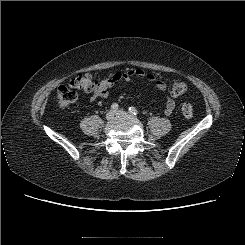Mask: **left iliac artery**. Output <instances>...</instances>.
Wrapping results in <instances>:
<instances>
[{
	"mask_svg": "<svg viewBox=\"0 0 245 245\" xmlns=\"http://www.w3.org/2000/svg\"><path fill=\"white\" fill-rule=\"evenodd\" d=\"M129 112H130L132 115H137V114H138L137 109L134 108V107H130V108H129Z\"/></svg>",
	"mask_w": 245,
	"mask_h": 245,
	"instance_id": "obj_1",
	"label": "left iliac artery"
}]
</instances>
